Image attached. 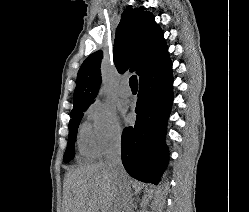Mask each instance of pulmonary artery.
<instances>
[{
  "label": "pulmonary artery",
  "instance_id": "pulmonary-artery-1",
  "mask_svg": "<svg viewBox=\"0 0 249 212\" xmlns=\"http://www.w3.org/2000/svg\"><path fill=\"white\" fill-rule=\"evenodd\" d=\"M118 94L122 98H128L131 95V89L129 86V77L128 76H124L122 78V82H121L119 89H118Z\"/></svg>",
  "mask_w": 249,
  "mask_h": 212
}]
</instances>
